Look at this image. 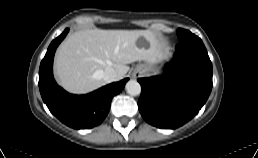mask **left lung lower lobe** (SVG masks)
Masks as SVG:
<instances>
[{
	"mask_svg": "<svg viewBox=\"0 0 258 158\" xmlns=\"http://www.w3.org/2000/svg\"><path fill=\"white\" fill-rule=\"evenodd\" d=\"M138 108L158 128L175 129L192 119L212 90V63L202 40L194 34L180 40L163 76L139 78Z\"/></svg>",
	"mask_w": 258,
	"mask_h": 158,
	"instance_id": "0a47b994",
	"label": "left lung lower lobe"
}]
</instances>
